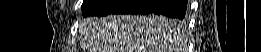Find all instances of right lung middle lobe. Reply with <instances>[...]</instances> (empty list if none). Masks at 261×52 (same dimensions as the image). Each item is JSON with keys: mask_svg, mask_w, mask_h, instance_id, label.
<instances>
[{"mask_svg": "<svg viewBox=\"0 0 261 52\" xmlns=\"http://www.w3.org/2000/svg\"><path fill=\"white\" fill-rule=\"evenodd\" d=\"M104 2H105V0H84L82 7H81L82 14L84 15V14L90 12L91 10L100 6ZM179 20H182V19H176V18L169 19V21H171L173 24H178V25L183 24V22L179 21Z\"/></svg>", "mask_w": 261, "mask_h": 52, "instance_id": "dd1d6c3e", "label": "right lung middle lobe"}]
</instances>
